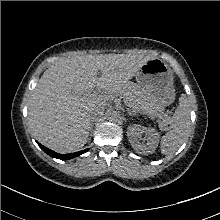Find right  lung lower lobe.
Masks as SVG:
<instances>
[{
	"label": "right lung lower lobe",
	"mask_w": 220,
	"mask_h": 220,
	"mask_svg": "<svg viewBox=\"0 0 220 220\" xmlns=\"http://www.w3.org/2000/svg\"><path fill=\"white\" fill-rule=\"evenodd\" d=\"M38 143V142H37ZM38 145L40 146V148L47 153L49 156L57 158V159H61V160H67V159H72L74 157H77L83 153H85L86 151H88V149L80 151V152H76V153H70V154H58L48 148H46L45 146L41 145L40 143H38Z\"/></svg>",
	"instance_id": "obj_1"
}]
</instances>
